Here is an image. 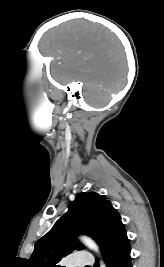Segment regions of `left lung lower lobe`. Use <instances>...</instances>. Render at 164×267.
<instances>
[{
	"label": "left lung lower lobe",
	"instance_id": "obj_1",
	"mask_svg": "<svg viewBox=\"0 0 164 267\" xmlns=\"http://www.w3.org/2000/svg\"><path fill=\"white\" fill-rule=\"evenodd\" d=\"M130 250V242L124 225L116 229L101 247L107 267H132ZM94 267H98V264Z\"/></svg>",
	"mask_w": 164,
	"mask_h": 267
}]
</instances>
